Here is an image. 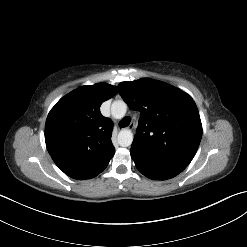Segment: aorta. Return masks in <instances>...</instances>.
Returning a JSON list of instances; mask_svg holds the SVG:
<instances>
[{"mask_svg":"<svg viewBox=\"0 0 247 247\" xmlns=\"http://www.w3.org/2000/svg\"><path fill=\"white\" fill-rule=\"evenodd\" d=\"M127 111V105L122 100H116L111 105V114L115 119H122ZM133 133L129 129H122L118 133V144L122 147H128L133 142Z\"/></svg>","mask_w":247,"mask_h":247,"instance_id":"aorta-1","label":"aorta"}]
</instances>
